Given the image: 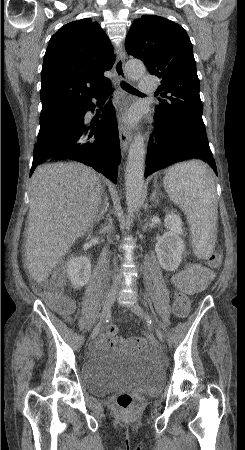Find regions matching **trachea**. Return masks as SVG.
<instances>
[{
    "instance_id": "trachea-1",
    "label": "trachea",
    "mask_w": 245,
    "mask_h": 450,
    "mask_svg": "<svg viewBox=\"0 0 245 450\" xmlns=\"http://www.w3.org/2000/svg\"><path fill=\"white\" fill-rule=\"evenodd\" d=\"M121 86H122V88H123L125 91H127V92H129V93L141 95V92H140V91H138L136 88H134L133 86L127 84V83L124 82V81L121 82Z\"/></svg>"
}]
</instances>
